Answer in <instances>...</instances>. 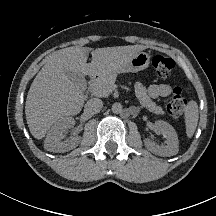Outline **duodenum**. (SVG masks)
Returning a JSON list of instances; mask_svg holds the SVG:
<instances>
[{
  "instance_id": "410a0bca",
  "label": "duodenum",
  "mask_w": 216,
  "mask_h": 216,
  "mask_svg": "<svg viewBox=\"0 0 216 216\" xmlns=\"http://www.w3.org/2000/svg\"><path fill=\"white\" fill-rule=\"evenodd\" d=\"M92 78H93V76H92V75H90V76H89V79H92Z\"/></svg>"
}]
</instances>
